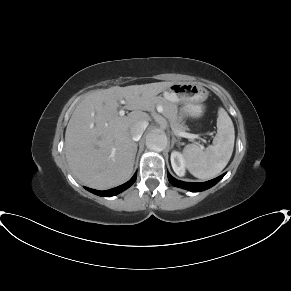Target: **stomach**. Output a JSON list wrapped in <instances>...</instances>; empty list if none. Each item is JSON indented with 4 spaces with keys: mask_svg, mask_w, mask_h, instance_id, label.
Here are the masks:
<instances>
[{
    "mask_svg": "<svg viewBox=\"0 0 291 291\" xmlns=\"http://www.w3.org/2000/svg\"><path fill=\"white\" fill-rule=\"evenodd\" d=\"M163 94L168 101L183 104V110L191 117L199 118L204 113L201 103L207 99L208 91L198 84L174 83Z\"/></svg>",
    "mask_w": 291,
    "mask_h": 291,
    "instance_id": "stomach-1",
    "label": "stomach"
}]
</instances>
